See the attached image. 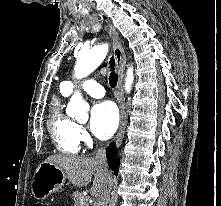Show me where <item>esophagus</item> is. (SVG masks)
Masks as SVG:
<instances>
[{
  "label": "esophagus",
  "instance_id": "34e87169",
  "mask_svg": "<svg viewBox=\"0 0 221 206\" xmlns=\"http://www.w3.org/2000/svg\"><path fill=\"white\" fill-rule=\"evenodd\" d=\"M107 28L113 40V51H114L116 66H117L118 75H119L118 85H117V100L119 103L121 119H120V126L118 129L117 135L115 137V142L117 146H120L124 137L125 128L127 124V113L125 110L124 94H123V81H124L126 56L122 48L121 41H120V38L118 36L116 29L111 24H107Z\"/></svg>",
  "mask_w": 221,
  "mask_h": 206
}]
</instances>
